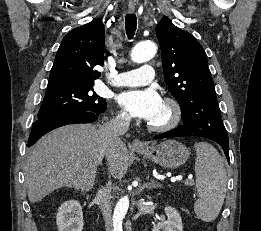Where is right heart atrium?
<instances>
[{"instance_id": "1", "label": "right heart atrium", "mask_w": 261, "mask_h": 231, "mask_svg": "<svg viewBox=\"0 0 261 231\" xmlns=\"http://www.w3.org/2000/svg\"><path fill=\"white\" fill-rule=\"evenodd\" d=\"M130 121V116L127 112L125 111H119L116 118L115 122L121 126H126Z\"/></svg>"}]
</instances>
